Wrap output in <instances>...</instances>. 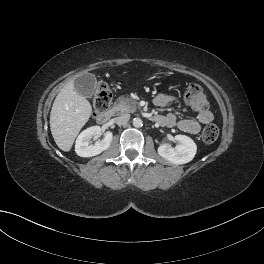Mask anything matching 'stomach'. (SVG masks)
Listing matches in <instances>:
<instances>
[{"mask_svg":"<svg viewBox=\"0 0 264 264\" xmlns=\"http://www.w3.org/2000/svg\"><path fill=\"white\" fill-rule=\"evenodd\" d=\"M162 77H163V78H166V75H164V76H160V78H162Z\"/></svg>","mask_w":264,"mask_h":264,"instance_id":"1","label":"stomach"}]
</instances>
